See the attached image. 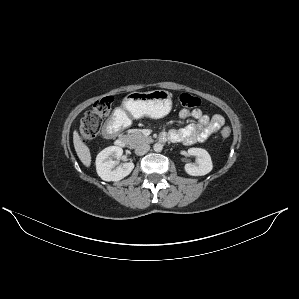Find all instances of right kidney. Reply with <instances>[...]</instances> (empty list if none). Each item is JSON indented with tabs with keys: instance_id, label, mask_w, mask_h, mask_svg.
I'll use <instances>...</instances> for the list:
<instances>
[{
	"instance_id": "1",
	"label": "right kidney",
	"mask_w": 299,
	"mask_h": 299,
	"mask_svg": "<svg viewBox=\"0 0 299 299\" xmlns=\"http://www.w3.org/2000/svg\"><path fill=\"white\" fill-rule=\"evenodd\" d=\"M123 154L122 148L109 146L103 149L96 157V170L99 177L104 181H119L128 176L134 169V163L127 162L117 169H113L117 160ZM116 159V160H114Z\"/></svg>"
}]
</instances>
